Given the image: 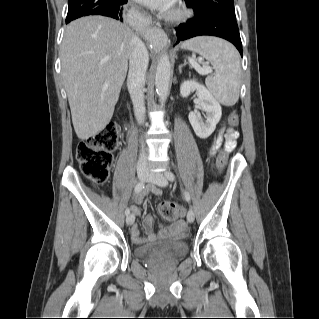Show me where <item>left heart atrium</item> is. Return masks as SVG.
Returning <instances> with one entry per match:
<instances>
[{
	"label": "left heart atrium",
	"instance_id": "obj_1",
	"mask_svg": "<svg viewBox=\"0 0 319 319\" xmlns=\"http://www.w3.org/2000/svg\"><path fill=\"white\" fill-rule=\"evenodd\" d=\"M138 2L162 13L168 12L175 0H137Z\"/></svg>",
	"mask_w": 319,
	"mask_h": 319
}]
</instances>
